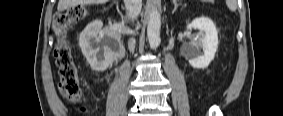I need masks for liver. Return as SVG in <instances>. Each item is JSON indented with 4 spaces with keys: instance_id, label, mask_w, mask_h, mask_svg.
<instances>
[{
    "instance_id": "obj_1",
    "label": "liver",
    "mask_w": 283,
    "mask_h": 116,
    "mask_svg": "<svg viewBox=\"0 0 283 116\" xmlns=\"http://www.w3.org/2000/svg\"><path fill=\"white\" fill-rule=\"evenodd\" d=\"M107 0H59L58 2V11L62 12L69 7L78 5V4H87V3H95V2H106Z\"/></svg>"
}]
</instances>
